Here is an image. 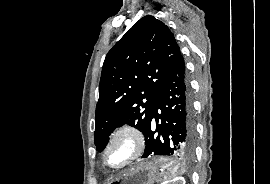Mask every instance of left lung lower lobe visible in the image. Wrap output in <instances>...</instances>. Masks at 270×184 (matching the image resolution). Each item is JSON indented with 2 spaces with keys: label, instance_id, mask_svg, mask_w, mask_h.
<instances>
[{
  "label": "left lung lower lobe",
  "instance_id": "1",
  "mask_svg": "<svg viewBox=\"0 0 270 184\" xmlns=\"http://www.w3.org/2000/svg\"><path fill=\"white\" fill-rule=\"evenodd\" d=\"M144 135L146 147L142 158L174 156L188 161L194 156V113L182 55L157 94Z\"/></svg>",
  "mask_w": 270,
  "mask_h": 184
}]
</instances>
